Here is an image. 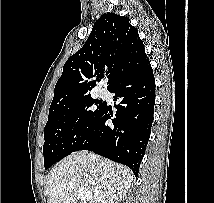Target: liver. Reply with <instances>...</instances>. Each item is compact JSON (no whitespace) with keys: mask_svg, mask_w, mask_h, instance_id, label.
Returning a JSON list of instances; mask_svg holds the SVG:
<instances>
[{"mask_svg":"<svg viewBox=\"0 0 214 203\" xmlns=\"http://www.w3.org/2000/svg\"><path fill=\"white\" fill-rule=\"evenodd\" d=\"M133 182L131 170L111 160L87 153H73L50 172L46 182L48 203H77L80 188L90 192L85 203H118Z\"/></svg>","mask_w":214,"mask_h":203,"instance_id":"liver-1","label":"liver"}]
</instances>
